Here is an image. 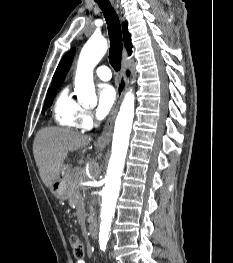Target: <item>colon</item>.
I'll use <instances>...</instances> for the list:
<instances>
[{
  "label": "colon",
  "instance_id": "obj_1",
  "mask_svg": "<svg viewBox=\"0 0 233 263\" xmlns=\"http://www.w3.org/2000/svg\"><path fill=\"white\" fill-rule=\"evenodd\" d=\"M70 243L73 249V256L78 260H83L85 257V246L82 239L77 234L70 235Z\"/></svg>",
  "mask_w": 233,
  "mask_h": 263
}]
</instances>
